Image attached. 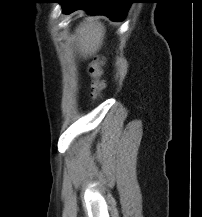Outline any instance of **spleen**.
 <instances>
[{"instance_id":"1","label":"spleen","mask_w":202,"mask_h":217,"mask_svg":"<svg viewBox=\"0 0 202 217\" xmlns=\"http://www.w3.org/2000/svg\"><path fill=\"white\" fill-rule=\"evenodd\" d=\"M77 45L84 54L95 52L102 44L105 29L97 20L81 24L75 31Z\"/></svg>"}]
</instances>
